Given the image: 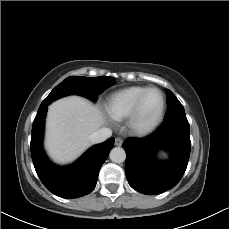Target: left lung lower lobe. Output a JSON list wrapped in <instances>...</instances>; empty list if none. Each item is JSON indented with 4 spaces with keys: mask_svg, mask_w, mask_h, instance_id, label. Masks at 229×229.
<instances>
[{
    "mask_svg": "<svg viewBox=\"0 0 229 229\" xmlns=\"http://www.w3.org/2000/svg\"><path fill=\"white\" fill-rule=\"evenodd\" d=\"M128 183L136 191L155 195L173 188L182 178L188 164L191 142L186 117L166 120L152 135L129 138L123 144ZM159 149L171 153L168 161H158Z\"/></svg>",
    "mask_w": 229,
    "mask_h": 229,
    "instance_id": "1",
    "label": "left lung lower lobe"
}]
</instances>
